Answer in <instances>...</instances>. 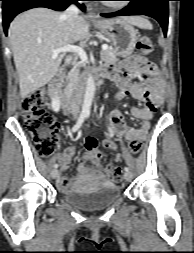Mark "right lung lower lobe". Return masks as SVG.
Instances as JSON below:
<instances>
[{"label": "right lung lower lobe", "mask_w": 194, "mask_h": 253, "mask_svg": "<svg viewBox=\"0 0 194 253\" xmlns=\"http://www.w3.org/2000/svg\"><path fill=\"white\" fill-rule=\"evenodd\" d=\"M3 1V27L5 34L8 33V26L12 19L19 13L36 7H47L53 10H65L72 2L79 0H0ZM81 10H85L84 5L77 4Z\"/></svg>", "instance_id": "1"}]
</instances>
